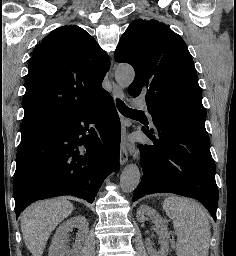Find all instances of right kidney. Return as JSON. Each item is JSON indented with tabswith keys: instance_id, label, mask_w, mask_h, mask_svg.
I'll use <instances>...</instances> for the list:
<instances>
[{
	"instance_id": "right-kidney-1",
	"label": "right kidney",
	"mask_w": 236,
	"mask_h": 256,
	"mask_svg": "<svg viewBox=\"0 0 236 256\" xmlns=\"http://www.w3.org/2000/svg\"><path fill=\"white\" fill-rule=\"evenodd\" d=\"M72 228H77V238L75 244L72 246V250H68L66 246L68 242L67 236ZM88 232L89 222H87L84 216L70 218V220H67V222H64V224H61L57 228L49 248L48 256H79L81 246L85 242Z\"/></svg>"
}]
</instances>
